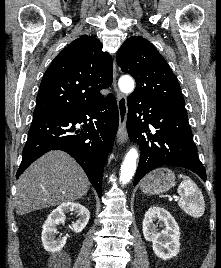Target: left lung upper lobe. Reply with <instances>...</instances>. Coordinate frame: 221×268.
Instances as JSON below:
<instances>
[{
  "instance_id": "5c2ea615",
  "label": "left lung upper lobe",
  "mask_w": 221,
  "mask_h": 268,
  "mask_svg": "<svg viewBox=\"0 0 221 268\" xmlns=\"http://www.w3.org/2000/svg\"><path fill=\"white\" fill-rule=\"evenodd\" d=\"M116 60L123 72L132 75L136 88L132 95L142 99L185 106L178 80L157 49L141 36L127 39Z\"/></svg>"
}]
</instances>
